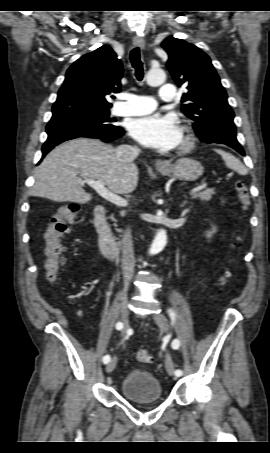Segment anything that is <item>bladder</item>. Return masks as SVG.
I'll return each mask as SVG.
<instances>
[{
  "label": "bladder",
  "mask_w": 270,
  "mask_h": 453,
  "mask_svg": "<svg viewBox=\"0 0 270 453\" xmlns=\"http://www.w3.org/2000/svg\"><path fill=\"white\" fill-rule=\"evenodd\" d=\"M120 391L131 402H158L163 399L161 382L148 371L133 369L121 381Z\"/></svg>",
  "instance_id": "31cf9c89"
}]
</instances>
